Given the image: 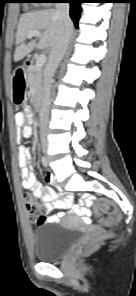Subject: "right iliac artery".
<instances>
[{
	"label": "right iliac artery",
	"instance_id": "right-iliac-artery-1",
	"mask_svg": "<svg viewBox=\"0 0 136 296\" xmlns=\"http://www.w3.org/2000/svg\"><path fill=\"white\" fill-rule=\"evenodd\" d=\"M41 161H42L43 166L47 167V160H46V158L44 156H42Z\"/></svg>",
	"mask_w": 136,
	"mask_h": 296
}]
</instances>
